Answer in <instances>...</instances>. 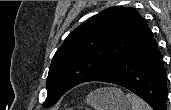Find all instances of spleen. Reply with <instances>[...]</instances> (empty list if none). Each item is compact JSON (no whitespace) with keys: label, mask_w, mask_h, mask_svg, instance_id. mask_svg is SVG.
I'll use <instances>...</instances> for the list:
<instances>
[{"label":"spleen","mask_w":171,"mask_h":110,"mask_svg":"<svg viewBox=\"0 0 171 110\" xmlns=\"http://www.w3.org/2000/svg\"><path fill=\"white\" fill-rule=\"evenodd\" d=\"M126 98L131 103L132 110H152L145 101L133 93H127Z\"/></svg>","instance_id":"obj_1"}]
</instances>
